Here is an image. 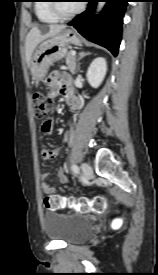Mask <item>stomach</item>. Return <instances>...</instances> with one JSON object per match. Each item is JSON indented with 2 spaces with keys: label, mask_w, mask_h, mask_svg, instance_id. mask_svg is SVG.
Returning <instances> with one entry per match:
<instances>
[{
  "label": "stomach",
  "mask_w": 158,
  "mask_h": 275,
  "mask_svg": "<svg viewBox=\"0 0 158 275\" xmlns=\"http://www.w3.org/2000/svg\"><path fill=\"white\" fill-rule=\"evenodd\" d=\"M81 42L80 36L73 29H64L42 42L30 62L34 81H41L53 63L67 56L69 45H80Z\"/></svg>",
  "instance_id": "0dacf381"
}]
</instances>
